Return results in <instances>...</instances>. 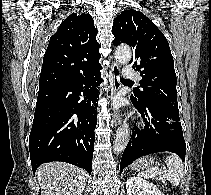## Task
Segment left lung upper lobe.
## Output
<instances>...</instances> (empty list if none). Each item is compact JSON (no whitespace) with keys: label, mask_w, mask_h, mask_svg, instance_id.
I'll use <instances>...</instances> for the list:
<instances>
[{"label":"left lung upper lobe","mask_w":211,"mask_h":195,"mask_svg":"<svg viewBox=\"0 0 211 195\" xmlns=\"http://www.w3.org/2000/svg\"><path fill=\"white\" fill-rule=\"evenodd\" d=\"M112 33L114 45L126 43L134 50L130 63L142 76L143 90H136L132 96L179 113L174 61L164 34L142 12L133 9L124 10L114 19Z\"/></svg>","instance_id":"5c2ea615"}]
</instances>
